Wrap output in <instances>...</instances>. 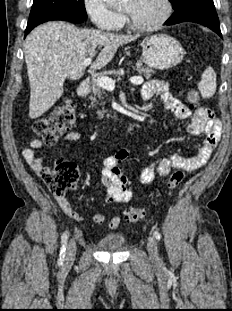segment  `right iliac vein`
I'll list each match as a JSON object with an SVG mask.
<instances>
[{
	"label": "right iliac vein",
	"instance_id": "obj_1",
	"mask_svg": "<svg viewBox=\"0 0 232 311\" xmlns=\"http://www.w3.org/2000/svg\"><path fill=\"white\" fill-rule=\"evenodd\" d=\"M76 254V243L74 240H70L67 244L66 248V256H65V265H70L75 258Z\"/></svg>",
	"mask_w": 232,
	"mask_h": 311
}]
</instances>
